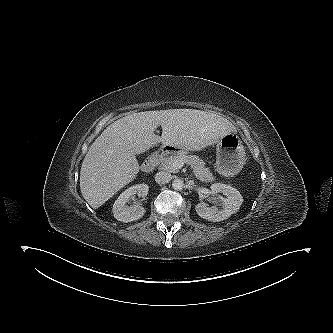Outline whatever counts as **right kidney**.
Listing matches in <instances>:
<instances>
[{"label":"right kidney","instance_id":"1","mask_svg":"<svg viewBox=\"0 0 333 333\" xmlns=\"http://www.w3.org/2000/svg\"><path fill=\"white\" fill-rule=\"evenodd\" d=\"M149 187L147 184H137L129 187L120 194L115 201L112 211L118 221L131 222L140 219L146 210L140 205L128 206L127 202L136 194L138 196L147 195Z\"/></svg>","mask_w":333,"mask_h":333}]
</instances>
